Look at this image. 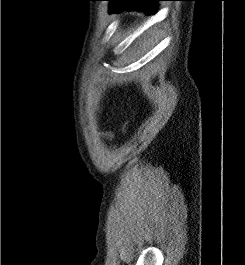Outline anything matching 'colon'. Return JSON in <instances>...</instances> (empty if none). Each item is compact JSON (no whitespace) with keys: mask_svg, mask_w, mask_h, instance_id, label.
Here are the masks:
<instances>
[{"mask_svg":"<svg viewBox=\"0 0 245 265\" xmlns=\"http://www.w3.org/2000/svg\"><path fill=\"white\" fill-rule=\"evenodd\" d=\"M127 127V123H125V125L123 126V130H125Z\"/></svg>","mask_w":245,"mask_h":265,"instance_id":"1","label":"colon"}]
</instances>
